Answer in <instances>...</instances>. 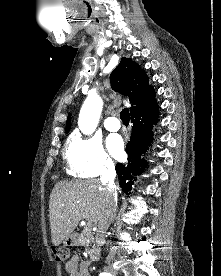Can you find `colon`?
Wrapping results in <instances>:
<instances>
[{"label":"colon","mask_w":221,"mask_h":276,"mask_svg":"<svg viewBox=\"0 0 221 276\" xmlns=\"http://www.w3.org/2000/svg\"><path fill=\"white\" fill-rule=\"evenodd\" d=\"M56 249L54 250V254L57 261L65 262L68 260L69 253L67 249H65V245H56Z\"/></svg>","instance_id":"obj_1"}]
</instances>
